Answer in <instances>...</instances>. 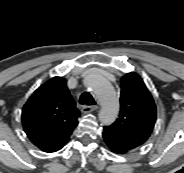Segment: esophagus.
Wrapping results in <instances>:
<instances>
[{"mask_svg":"<svg viewBox=\"0 0 184 173\" xmlns=\"http://www.w3.org/2000/svg\"><path fill=\"white\" fill-rule=\"evenodd\" d=\"M97 109H98V106H96V105L83 106L82 109H81V111H82V113L87 114V113L96 111Z\"/></svg>","mask_w":184,"mask_h":173,"instance_id":"obj_1","label":"esophagus"}]
</instances>
